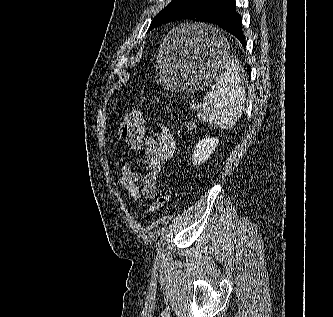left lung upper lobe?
Listing matches in <instances>:
<instances>
[{
	"mask_svg": "<svg viewBox=\"0 0 333 317\" xmlns=\"http://www.w3.org/2000/svg\"><path fill=\"white\" fill-rule=\"evenodd\" d=\"M212 1L213 0H172V2L162 9L152 20L148 31L161 24L183 19L188 12L207 5Z\"/></svg>",
	"mask_w": 333,
	"mask_h": 317,
	"instance_id": "left-lung-upper-lobe-1",
	"label": "left lung upper lobe"
}]
</instances>
